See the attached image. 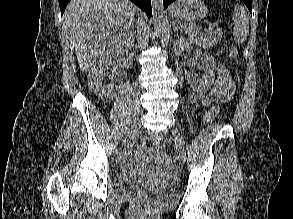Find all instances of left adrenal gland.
Here are the masks:
<instances>
[{"instance_id":"left-adrenal-gland-1","label":"left adrenal gland","mask_w":293,"mask_h":219,"mask_svg":"<svg viewBox=\"0 0 293 219\" xmlns=\"http://www.w3.org/2000/svg\"><path fill=\"white\" fill-rule=\"evenodd\" d=\"M172 26H173V31L175 32V31H177L178 30V24H177V22L176 21H173L172 22Z\"/></svg>"}]
</instances>
